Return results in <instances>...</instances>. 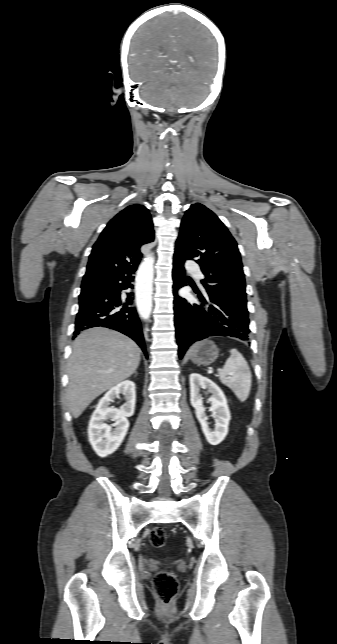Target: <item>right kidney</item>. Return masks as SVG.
I'll return each instance as SVG.
<instances>
[{
	"mask_svg": "<svg viewBox=\"0 0 337 644\" xmlns=\"http://www.w3.org/2000/svg\"><path fill=\"white\" fill-rule=\"evenodd\" d=\"M119 394L124 395L126 403L120 409L110 407L111 402L118 398ZM135 401V383L129 380L112 387L101 398L91 416L88 427L89 442L98 456L106 457L121 445L129 428L127 418L134 414ZM107 419H111L115 423L107 425L104 423Z\"/></svg>",
	"mask_w": 337,
	"mask_h": 644,
	"instance_id": "1",
	"label": "right kidney"
}]
</instances>
